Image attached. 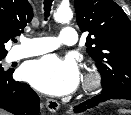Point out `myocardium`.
Instances as JSON below:
<instances>
[{
	"mask_svg": "<svg viewBox=\"0 0 131 115\" xmlns=\"http://www.w3.org/2000/svg\"><path fill=\"white\" fill-rule=\"evenodd\" d=\"M102 80V75L98 70H90L85 76L84 87L87 91L97 90L100 88Z\"/></svg>",
	"mask_w": 131,
	"mask_h": 115,
	"instance_id": "f54148a6",
	"label": "myocardium"
}]
</instances>
